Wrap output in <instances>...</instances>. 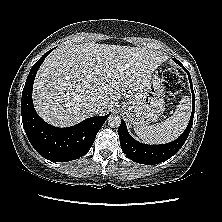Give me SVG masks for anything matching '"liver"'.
I'll return each instance as SVG.
<instances>
[{"mask_svg":"<svg viewBox=\"0 0 222 222\" xmlns=\"http://www.w3.org/2000/svg\"><path fill=\"white\" fill-rule=\"evenodd\" d=\"M168 57L159 51L94 42L64 45L43 62L33 86V103L42 119L68 127L105 114L124 95L135 96ZM101 103L92 112L86 103Z\"/></svg>","mask_w":222,"mask_h":222,"instance_id":"6515ba94","label":"liver"}]
</instances>
